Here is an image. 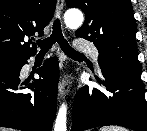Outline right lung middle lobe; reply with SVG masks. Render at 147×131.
Returning a JSON list of instances; mask_svg holds the SVG:
<instances>
[{
	"label": "right lung middle lobe",
	"instance_id": "obj_1",
	"mask_svg": "<svg viewBox=\"0 0 147 131\" xmlns=\"http://www.w3.org/2000/svg\"><path fill=\"white\" fill-rule=\"evenodd\" d=\"M18 63L19 60H0V70L16 68L18 66Z\"/></svg>",
	"mask_w": 147,
	"mask_h": 131
}]
</instances>
